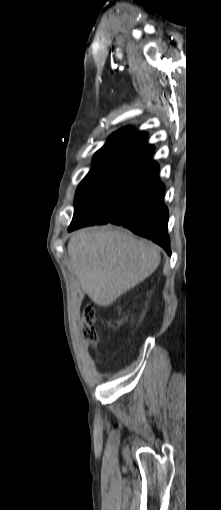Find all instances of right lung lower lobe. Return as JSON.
Listing matches in <instances>:
<instances>
[{"instance_id": "obj_1", "label": "right lung lower lobe", "mask_w": 221, "mask_h": 510, "mask_svg": "<svg viewBox=\"0 0 221 510\" xmlns=\"http://www.w3.org/2000/svg\"><path fill=\"white\" fill-rule=\"evenodd\" d=\"M158 172V164L148 161L137 175L124 203L113 215L95 216L88 206L78 205L75 207L68 231L110 222L151 239L170 255V239L167 232L169 216L163 202L165 186L159 180Z\"/></svg>"}]
</instances>
